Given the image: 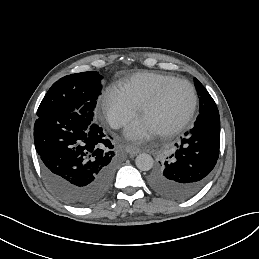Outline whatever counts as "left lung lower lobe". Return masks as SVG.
I'll list each match as a JSON object with an SVG mask.
<instances>
[{
  "instance_id": "1",
  "label": "left lung lower lobe",
  "mask_w": 259,
  "mask_h": 259,
  "mask_svg": "<svg viewBox=\"0 0 259 259\" xmlns=\"http://www.w3.org/2000/svg\"><path fill=\"white\" fill-rule=\"evenodd\" d=\"M177 150L148 182L157 193L173 200H184L206 184L219 157L220 117L218 109L198 115L194 127L185 133Z\"/></svg>"
}]
</instances>
